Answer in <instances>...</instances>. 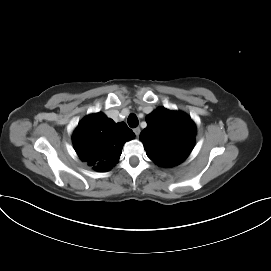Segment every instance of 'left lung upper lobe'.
Segmentation results:
<instances>
[{
  "label": "left lung upper lobe",
  "mask_w": 271,
  "mask_h": 271,
  "mask_svg": "<svg viewBox=\"0 0 271 271\" xmlns=\"http://www.w3.org/2000/svg\"><path fill=\"white\" fill-rule=\"evenodd\" d=\"M146 122L140 140L152 161L163 167H173L187 158L196 133L189 116L160 107L146 117Z\"/></svg>",
  "instance_id": "left-lung-upper-lobe-1"
}]
</instances>
